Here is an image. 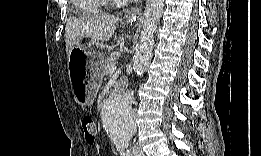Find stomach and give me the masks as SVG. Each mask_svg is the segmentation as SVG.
Segmentation results:
<instances>
[{"label": "stomach", "instance_id": "stomach-1", "mask_svg": "<svg viewBox=\"0 0 261 156\" xmlns=\"http://www.w3.org/2000/svg\"><path fill=\"white\" fill-rule=\"evenodd\" d=\"M85 58L82 67L78 60ZM104 57L92 52L89 45L79 44L74 47L68 58L69 75L75 100L82 106L94 103L102 81Z\"/></svg>", "mask_w": 261, "mask_h": 156}]
</instances>
